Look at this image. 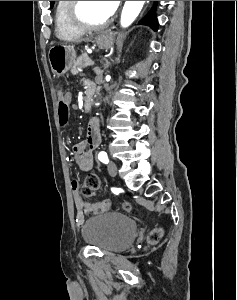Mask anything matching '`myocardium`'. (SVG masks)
<instances>
[{
    "instance_id": "f54148a6",
    "label": "myocardium",
    "mask_w": 237,
    "mask_h": 300,
    "mask_svg": "<svg viewBox=\"0 0 237 300\" xmlns=\"http://www.w3.org/2000/svg\"><path fill=\"white\" fill-rule=\"evenodd\" d=\"M81 6L82 1H70V5L68 8L69 21L76 29H79L81 31L101 30L109 26L114 21V14H112L109 19L100 24H90L82 18Z\"/></svg>"
}]
</instances>
